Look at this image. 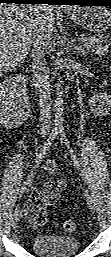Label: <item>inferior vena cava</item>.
I'll use <instances>...</instances> for the list:
<instances>
[{
    "instance_id": "602c4592",
    "label": "inferior vena cava",
    "mask_w": 111,
    "mask_h": 257,
    "mask_svg": "<svg viewBox=\"0 0 111 257\" xmlns=\"http://www.w3.org/2000/svg\"><path fill=\"white\" fill-rule=\"evenodd\" d=\"M46 55V35L38 34L32 43L31 59L39 92L41 130L49 129L51 123V92Z\"/></svg>"
}]
</instances>
